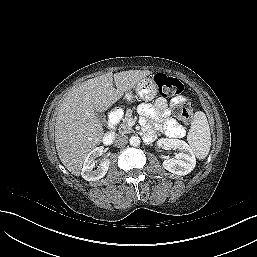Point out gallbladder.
<instances>
[{
	"mask_svg": "<svg viewBox=\"0 0 257 257\" xmlns=\"http://www.w3.org/2000/svg\"><path fill=\"white\" fill-rule=\"evenodd\" d=\"M96 116L98 117V119L100 120L101 123L106 122L105 116L103 114H101L100 112H96Z\"/></svg>",
	"mask_w": 257,
	"mask_h": 257,
	"instance_id": "1",
	"label": "gallbladder"
}]
</instances>
